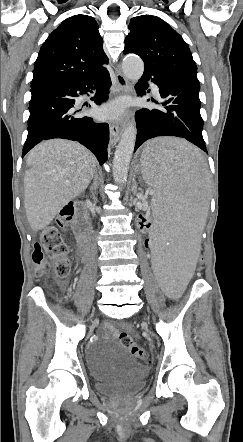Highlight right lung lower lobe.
I'll list each match as a JSON object with an SVG mask.
<instances>
[{
  "label": "right lung lower lobe",
  "instance_id": "right-lung-lower-lobe-1",
  "mask_svg": "<svg viewBox=\"0 0 243 442\" xmlns=\"http://www.w3.org/2000/svg\"><path fill=\"white\" fill-rule=\"evenodd\" d=\"M110 85L107 69L84 78L54 79L31 85L28 136L22 157L44 139L64 138L90 149L102 165L107 160L109 126L77 115L80 109L76 97L97 89L92 101L100 105L107 99Z\"/></svg>",
  "mask_w": 243,
  "mask_h": 442
}]
</instances>
